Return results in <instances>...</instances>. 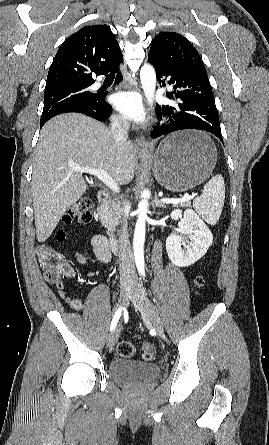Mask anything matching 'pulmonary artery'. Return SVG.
<instances>
[{
  "mask_svg": "<svg viewBox=\"0 0 269 445\" xmlns=\"http://www.w3.org/2000/svg\"><path fill=\"white\" fill-rule=\"evenodd\" d=\"M96 86H97V87L100 86V83H96Z\"/></svg>",
  "mask_w": 269,
  "mask_h": 445,
  "instance_id": "1",
  "label": "pulmonary artery"
}]
</instances>
